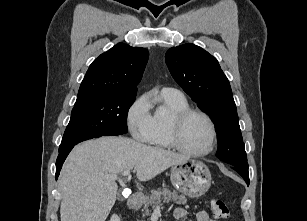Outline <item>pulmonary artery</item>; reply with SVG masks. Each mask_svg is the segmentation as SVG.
Listing matches in <instances>:
<instances>
[{"instance_id":"e3ab8cb5","label":"pulmonary artery","mask_w":307,"mask_h":221,"mask_svg":"<svg viewBox=\"0 0 307 221\" xmlns=\"http://www.w3.org/2000/svg\"><path fill=\"white\" fill-rule=\"evenodd\" d=\"M163 92H170V93H176V94H182L178 89L171 88V87H163Z\"/></svg>"}]
</instances>
